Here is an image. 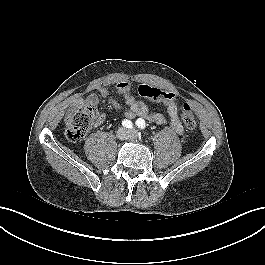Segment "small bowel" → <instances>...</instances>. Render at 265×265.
Listing matches in <instances>:
<instances>
[{
    "label": "small bowel",
    "mask_w": 265,
    "mask_h": 265,
    "mask_svg": "<svg viewBox=\"0 0 265 265\" xmlns=\"http://www.w3.org/2000/svg\"><path fill=\"white\" fill-rule=\"evenodd\" d=\"M116 89L117 92L123 96L125 104L127 105V108L125 109L124 113L128 118L133 119L135 117H140L143 120L158 125L166 123V117L162 113L152 112L151 110H149V108L144 102L137 100L132 95L131 88L128 83H119ZM166 92L173 93L174 95H176L174 92L171 91ZM99 97L107 99L116 108H121L120 103L115 98H113L110 91L106 88H100L98 90V94H90L85 99V101L87 103L98 104ZM82 101L83 100H80V102ZM159 102H162L165 106L173 130L178 134L182 135L184 133V127L178 117V107L176 99H168Z\"/></svg>",
    "instance_id": "obj_1"
}]
</instances>
